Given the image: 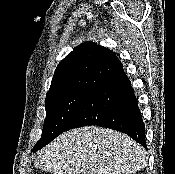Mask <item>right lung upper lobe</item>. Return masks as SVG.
Listing matches in <instances>:
<instances>
[{
	"instance_id": "right-lung-upper-lobe-1",
	"label": "right lung upper lobe",
	"mask_w": 175,
	"mask_h": 174,
	"mask_svg": "<svg viewBox=\"0 0 175 174\" xmlns=\"http://www.w3.org/2000/svg\"><path fill=\"white\" fill-rule=\"evenodd\" d=\"M122 68L113 51L93 42L83 43L59 63L46 98L71 91L92 90Z\"/></svg>"
}]
</instances>
